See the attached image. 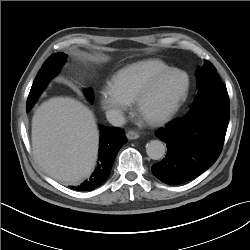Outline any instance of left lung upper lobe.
Listing matches in <instances>:
<instances>
[{"mask_svg":"<svg viewBox=\"0 0 250 250\" xmlns=\"http://www.w3.org/2000/svg\"><path fill=\"white\" fill-rule=\"evenodd\" d=\"M195 75L197 79L198 95L206 89L223 84L216 73L215 67L207 60H204V65L202 67L197 68Z\"/></svg>","mask_w":250,"mask_h":250,"instance_id":"obj_1","label":"left lung upper lobe"}]
</instances>
